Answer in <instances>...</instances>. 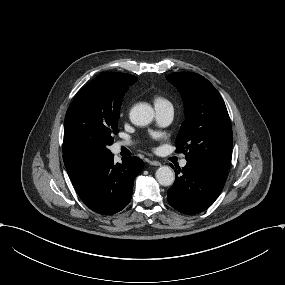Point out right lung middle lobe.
Masks as SVG:
<instances>
[{
	"label": "right lung middle lobe",
	"mask_w": 285,
	"mask_h": 285,
	"mask_svg": "<svg viewBox=\"0 0 285 285\" xmlns=\"http://www.w3.org/2000/svg\"><path fill=\"white\" fill-rule=\"evenodd\" d=\"M124 93L102 103L73 100L65 116L63 151L76 154L111 155L108 146L117 134Z\"/></svg>",
	"instance_id": "dd1d6c3e"
}]
</instances>
